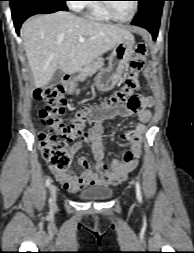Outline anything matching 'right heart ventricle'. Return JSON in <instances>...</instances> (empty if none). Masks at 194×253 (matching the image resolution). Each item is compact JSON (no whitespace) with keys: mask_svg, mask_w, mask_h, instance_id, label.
Returning <instances> with one entry per match:
<instances>
[{"mask_svg":"<svg viewBox=\"0 0 194 253\" xmlns=\"http://www.w3.org/2000/svg\"><path fill=\"white\" fill-rule=\"evenodd\" d=\"M84 8L86 17L92 20L99 22H110L112 20L98 1H89L85 4Z\"/></svg>","mask_w":194,"mask_h":253,"instance_id":"obj_1","label":"right heart ventricle"}]
</instances>
